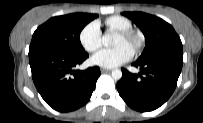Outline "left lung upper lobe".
I'll return each mask as SVG.
<instances>
[{
	"label": "left lung upper lobe",
	"instance_id": "left-lung-upper-lobe-1",
	"mask_svg": "<svg viewBox=\"0 0 203 123\" xmlns=\"http://www.w3.org/2000/svg\"><path fill=\"white\" fill-rule=\"evenodd\" d=\"M123 15L131 19L145 36L146 46L138 60L170 52H183L179 36L173 27L161 18L142 12H124Z\"/></svg>",
	"mask_w": 203,
	"mask_h": 123
}]
</instances>
